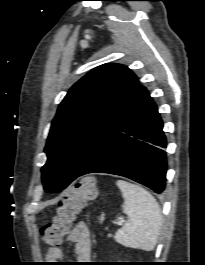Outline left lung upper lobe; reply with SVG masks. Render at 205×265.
I'll return each mask as SVG.
<instances>
[{"label": "left lung upper lobe", "mask_w": 205, "mask_h": 265, "mask_svg": "<svg viewBox=\"0 0 205 265\" xmlns=\"http://www.w3.org/2000/svg\"><path fill=\"white\" fill-rule=\"evenodd\" d=\"M121 64L101 65L75 83L59 105L45 146L42 180L61 191L120 128L146 92Z\"/></svg>", "instance_id": "1"}]
</instances>
